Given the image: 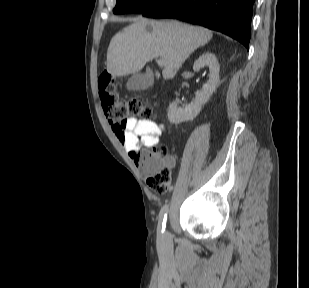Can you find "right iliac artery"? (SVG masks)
Instances as JSON below:
<instances>
[{"label":"right iliac artery","instance_id":"1","mask_svg":"<svg viewBox=\"0 0 309 288\" xmlns=\"http://www.w3.org/2000/svg\"><path fill=\"white\" fill-rule=\"evenodd\" d=\"M167 213H168V205L165 204L160 213H159V226L158 231L159 233L163 234L166 227V220H167Z\"/></svg>","mask_w":309,"mask_h":288}]
</instances>
